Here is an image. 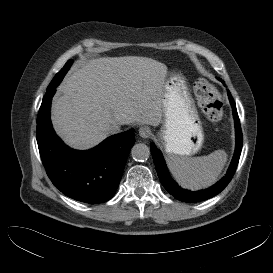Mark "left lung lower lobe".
Here are the masks:
<instances>
[{"label": "left lung lower lobe", "mask_w": 273, "mask_h": 273, "mask_svg": "<svg viewBox=\"0 0 273 273\" xmlns=\"http://www.w3.org/2000/svg\"><path fill=\"white\" fill-rule=\"evenodd\" d=\"M219 80L222 81L221 79H219ZM228 96H229L230 103L233 108V115H234V119H235L236 149H235V153H234L232 162L228 168L227 174L212 187L202 190V191H197V192L180 188L174 182V180L170 177V175L168 174L161 153L159 152V150L156 148V146L153 143L151 144L150 149H151L152 157L154 160V164L156 167L158 177H159L162 185L172 196H174L176 199H178L180 201L199 202V201L207 200V199L219 194L228 185V183L231 181V179L235 173V170H236L238 162H239L241 150H242L243 138H242V131H241V127H240V121H239V117L237 114L236 105H235V102H234L229 91H228Z\"/></svg>", "instance_id": "0a47b994"}]
</instances>
